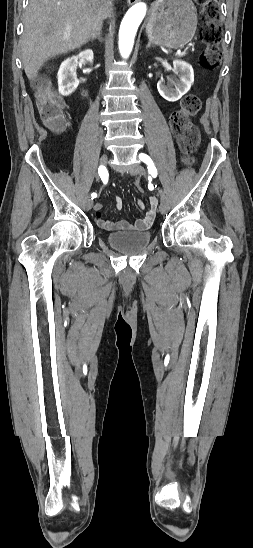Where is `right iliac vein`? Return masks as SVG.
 I'll use <instances>...</instances> for the list:
<instances>
[{
	"mask_svg": "<svg viewBox=\"0 0 253 548\" xmlns=\"http://www.w3.org/2000/svg\"><path fill=\"white\" fill-rule=\"evenodd\" d=\"M108 161V154L107 153H104L101 158H100V164L103 166L107 163ZM93 206V201L91 199V197L89 196L86 200V208L87 210H90Z\"/></svg>",
	"mask_w": 253,
	"mask_h": 548,
	"instance_id": "right-iliac-vein-1",
	"label": "right iliac vein"
}]
</instances>
